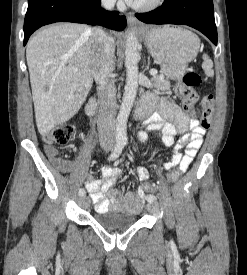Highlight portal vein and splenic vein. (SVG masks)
Instances as JSON below:
<instances>
[{
  "mask_svg": "<svg viewBox=\"0 0 247 275\" xmlns=\"http://www.w3.org/2000/svg\"><path fill=\"white\" fill-rule=\"evenodd\" d=\"M74 71H77V69H74ZM150 75H152V76H156L157 75V70H155V69H152V70H150Z\"/></svg>",
  "mask_w": 247,
  "mask_h": 275,
  "instance_id": "18ae733b",
  "label": "portal vein and splenic vein"
}]
</instances>
